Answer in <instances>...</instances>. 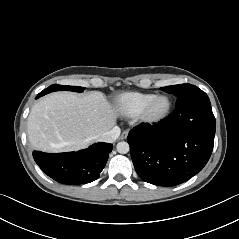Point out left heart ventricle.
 <instances>
[{"label":"left heart ventricle","mask_w":239,"mask_h":239,"mask_svg":"<svg viewBox=\"0 0 239 239\" xmlns=\"http://www.w3.org/2000/svg\"><path fill=\"white\" fill-rule=\"evenodd\" d=\"M165 105L166 103L164 100H159L158 102H156L154 106L152 107V111H151L152 114L154 115L160 114L164 110Z\"/></svg>","instance_id":"obj_1"}]
</instances>
